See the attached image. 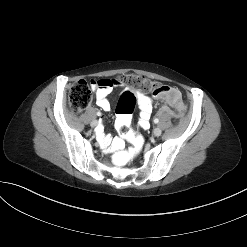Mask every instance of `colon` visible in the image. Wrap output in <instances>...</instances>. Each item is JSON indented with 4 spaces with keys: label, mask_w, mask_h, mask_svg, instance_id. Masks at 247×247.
I'll list each match as a JSON object with an SVG mask.
<instances>
[{
    "label": "colon",
    "mask_w": 247,
    "mask_h": 247,
    "mask_svg": "<svg viewBox=\"0 0 247 247\" xmlns=\"http://www.w3.org/2000/svg\"><path fill=\"white\" fill-rule=\"evenodd\" d=\"M129 89L120 97L117 105L116 123L119 133L129 140V147L123 151H117L113 155V162L119 167H126L139 160L141 152L146 146L144 135L136 133L131 128V115L137 101L136 92H149L153 96L162 97L163 101L182 112V102L179 92L158 82L152 81L140 75H125L118 79ZM95 81L85 79L75 83L69 92V106L74 113H80L86 109L92 98V89Z\"/></svg>",
    "instance_id": "obj_1"
}]
</instances>
